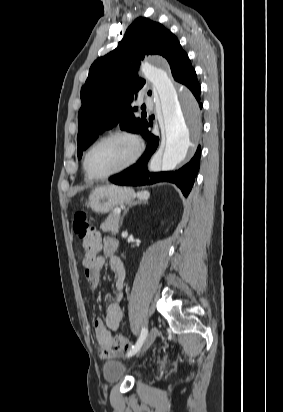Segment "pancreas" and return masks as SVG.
<instances>
[{"label": "pancreas", "mask_w": 283, "mask_h": 412, "mask_svg": "<svg viewBox=\"0 0 283 412\" xmlns=\"http://www.w3.org/2000/svg\"><path fill=\"white\" fill-rule=\"evenodd\" d=\"M119 221H120V214L115 213L113 211L109 214L106 220L101 224L100 229L103 232H111L113 234H117L119 232Z\"/></svg>", "instance_id": "1"}]
</instances>
